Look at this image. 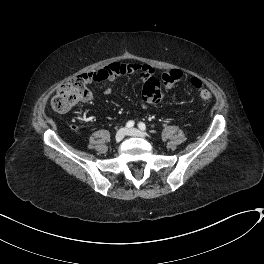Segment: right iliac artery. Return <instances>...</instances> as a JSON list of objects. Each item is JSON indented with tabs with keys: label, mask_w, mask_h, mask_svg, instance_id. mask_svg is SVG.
Masks as SVG:
<instances>
[{
	"label": "right iliac artery",
	"mask_w": 264,
	"mask_h": 264,
	"mask_svg": "<svg viewBox=\"0 0 264 264\" xmlns=\"http://www.w3.org/2000/svg\"><path fill=\"white\" fill-rule=\"evenodd\" d=\"M133 126H134V121H128L127 124H126L127 128H131Z\"/></svg>",
	"instance_id": "obj_1"
}]
</instances>
